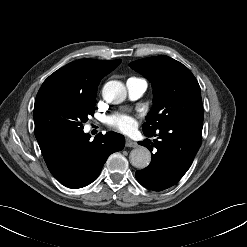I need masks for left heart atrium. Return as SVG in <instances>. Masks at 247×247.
<instances>
[{"label":"left heart atrium","instance_id":"39dd6f15","mask_svg":"<svg viewBox=\"0 0 247 247\" xmlns=\"http://www.w3.org/2000/svg\"><path fill=\"white\" fill-rule=\"evenodd\" d=\"M107 123L121 132H131L136 125L135 119L129 114H114L107 119Z\"/></svg>","mask_w":247,"mask_h":247}]
</instances>
